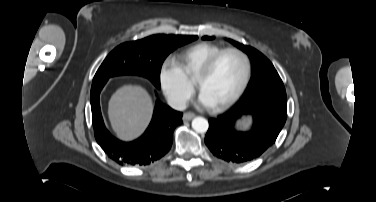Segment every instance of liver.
I'll use <instances>...</instances> for the list:
<instances>
[{
    "label": "liver",
    "mask_w": 376,
    "mask_h": 202,
    "mask_svg": "<svg viewBox=\"0 0 376 202\" xmlns=\"http://www.w3.org/2000/svg\"><path fill=\"white\" fill-rule=\"evenodd\" d=\"M153 102L141 86L119 88L109 101L108 115L117 137L131 141L141 136L151 119Z\"/></svg>",
    "instance_id": "1"
}]
</instances>
